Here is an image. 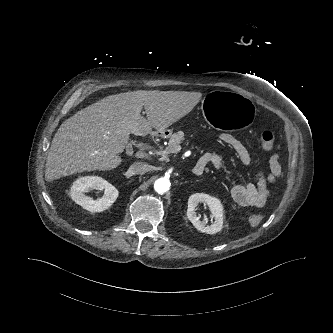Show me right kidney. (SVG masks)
<instances>
[{"label": "right kidney", "instance_id": "ca27d5eb", "mask_svg": "<svg viewBox=\"0 0 333 333\" xmlns=\"http://www.w3.org/2000/svg\"><path fill=\"white\" fill-rule=\"evenodd\" d=\"M103 190L104 196L97 200L86 196L90 190ZM71 198L84 209L95 213L108 209L117 199L118 190L105 179L98 176H85L77 179L70 191Z\"/></svg>", "mask_w": 333, "mask_h": 333}]
</instances>
